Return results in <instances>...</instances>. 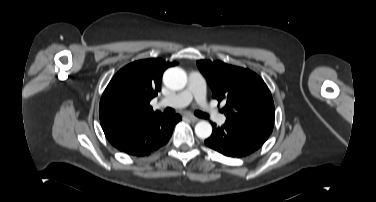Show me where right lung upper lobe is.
I'll return each instance as SVG.
<instances>
[{
    "label": "right lung upper lobe",
    "instance_id": "right-lung-upper-lobe-1",
    "mask_svg": "<svg viewBox=\"0 0 376 202\" xmlns=\"http://www.w3.org/2000/svg\"><path fill=\"white\" fill-rule=\"evenodd\" d=\"M176 64L145 59L130 63L115 74L99 106L100 123L107 139L160 113L154 112L149 103L160 91L163 72Z\"/></svg>",
    "mask_w": 376,
    "mask_h": 202
}]
</instances>
